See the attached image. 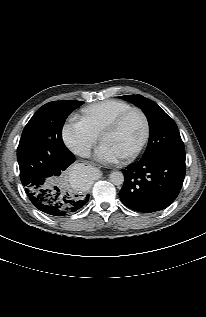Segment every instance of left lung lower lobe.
I'll list each match as a JSON object with an SVG mask.
<instances>
[{
	"label": "left lung lower lobe",
	"mask_w": 206,
	"mask_h": 317,
	"mask_svg": "<svg viewBox=\"0 0 206 317\" xmlns=\"http://www.w3.org/2000/svg\"><path fill=\"white\" fill-rule=\"evenodd\" d=\"M119 196L128 208L152 213L168 207L182 187L185 160L173 157L141 158L124 169Z\"/></svg>",
	"instance_id": "obj_1"
}]
</instances>
